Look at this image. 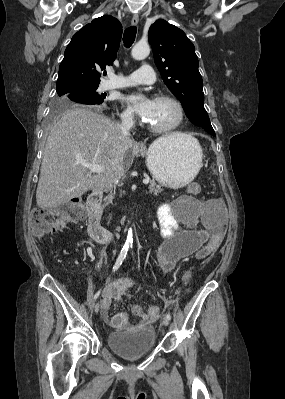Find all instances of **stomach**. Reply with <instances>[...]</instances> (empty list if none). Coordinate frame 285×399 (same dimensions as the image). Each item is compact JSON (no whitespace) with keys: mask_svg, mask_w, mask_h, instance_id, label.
<instances>
[{"mask_svg":"<svg viewBox=\"0 0 285 399\" xmlns=\"http://www.w3.org/2000/svg\"><path fill=\"white\" fill-rule=\"evenodd\" d=\"M152 176L163 186L177 189L188 185L202 166V149L193 137L159 138L141 150Z\"/></svg>","mask_w":285,"mask_h":399,"instance_id":"0dacf381","label":"stomach"}]
</instances>
